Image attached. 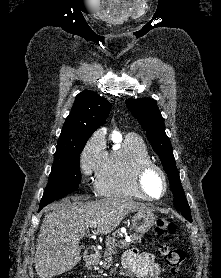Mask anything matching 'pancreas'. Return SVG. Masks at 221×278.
<instances>
[{"label": "pancreas", "mask_w": 221, "mask_h": 278, "mask_svg": "<svg viewBox=\"0 0 221 278\" xmlns=\"http://www.w3.org/2000/svg\"><path fill=\"white\" fill-rule=\"evenodd\" d=\"M119 236H120V232H116V233L113 234V236L108 237L106 239L107 251H105V253H104V262H103L104 267H109V265L111 264L112 254L116 253V248L117 247L126 249L129 245L126 242H124V243L117 242L116 238H118ZM130 238H131V243L132 244L140 243V241H141V236L140 235L138 236L136 234H133V235L130 236Z\"/></svg>", "instance_id": "pancreas-1"}]
</instances>
